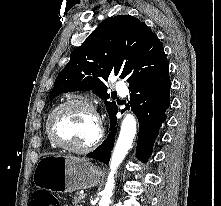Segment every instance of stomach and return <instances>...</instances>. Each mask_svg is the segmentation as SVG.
I'll list each match as a JSON object with an SVG mask.
<instances>
[{
  "label": "stomach",
  "instance_id": "0dacf381",
  "mask_svg": "<svg viewBox=\"0 0 221 206\" xmlns=\"http://www.w3.org/2000/svg\"><path fill=\"white\" fill-rule=\"evenodd\" d=\"M100 178V169L91 162L66 155L41 158L33 174L37 188L56 193H72L94 187Z\"/></svg>",
  "mask_w": 221,
  "mask_h": 206
}]
</instances>
